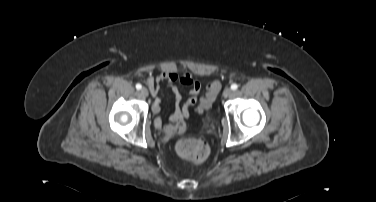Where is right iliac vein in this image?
<instances>
[{"instance_id": "63e3f726", "label": "right iliac vein", "mask_w": 376, "mask_h": 202, "mask_svg": "<svg viewBox=\"0 0 376 202\" xmlns=\"http://www.w3.org/2000/svg\"><path fill=\"white\" fill-rule=\"evenodd\" d=\"M140 94L143 96V97H147L148 96V90L143 87L141 90H140Z\"/></svg>"}]
</instances>
